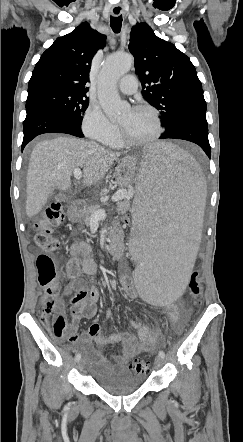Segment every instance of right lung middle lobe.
Returning <instances> with one entry per match:
<instances>
[{
  "mask_svg": "<svg viewBox=\"0 0 243 442\" xmlns=\"http://www.w3.org/2000/svg\"><path fill=\"white\" fill-rule=\"evenodd\" d=\"M32 103H47L63 111L78 126L81 127L83 114L88 107L87 96L65 91L52 90L32 97H27L26 105Z\"/></svg>",
  "mask_w": 243,
  "mask_h": 442,
  "instance_id": "dd1d6c3e",
  "label": "right lung middle lobe"
}]
</instances>
